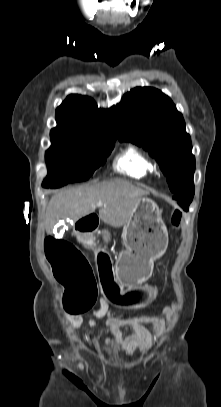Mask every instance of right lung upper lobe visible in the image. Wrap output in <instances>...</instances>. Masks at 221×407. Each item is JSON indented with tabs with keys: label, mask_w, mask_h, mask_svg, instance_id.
<instances>
[{
	"label": "right lung upper lobe",
	"mask_w": 221,
	"mask_h": 407,
	"mask_svg": "<svg viewBox=\"0 0 221 407\" xmlns=\"http://www.w3.org/2000/svg\"><path fill=\"white\" fill-rule=\"evenodd\" d=\"M57 127L51 138L109 143L116 140L115 109H98L93 99L69 95L56 109Z\"/></svg>",
	"instance_id": "right-lung-upper-lobe-1"
}]
</instances>
